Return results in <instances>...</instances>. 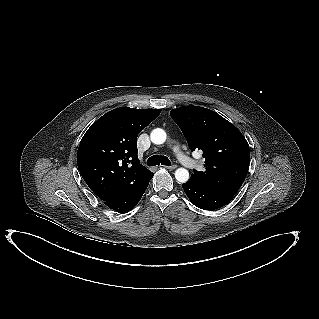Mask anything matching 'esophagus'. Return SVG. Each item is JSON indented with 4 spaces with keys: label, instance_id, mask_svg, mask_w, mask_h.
Wrapping results in <instances>:
<instances>
[{
    "label": "esophagus",
    "instance_id": "1",
    "mask_svg": "<svg viewBox=\"0 0 319 319\" xmlns=\"http://www.w3.org/2000/svg\"><path fill=\"white\" fill-rule=\"evenodd\" d=\"M166 169H168V170H174V169H176L177 168V166L176 165H171V166H164Z\"/></svg>",
    "mask_w": 319,
    "mask_h": 319
}]
</instances>
